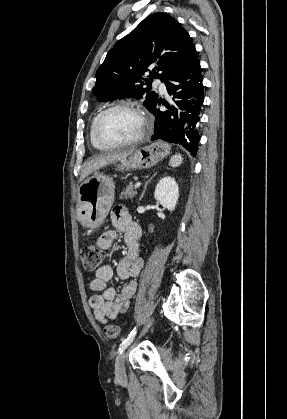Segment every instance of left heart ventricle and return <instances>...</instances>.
Returning <instances> with one entry per match:
<instances>
[{"mask_svg":"<svg viewBox=\"0 0 287 419\" xmlns=\"http://www.w3.org/2000/svg\"><path fill=\"white\" fill-rule=\"evenodd\" d=\"M141 128L137 113L128 109H116L109 112L101 122V136L112 142L133 138Z\"/></svg>","mask_w":287,"mask_h":419,"instance_id":"left-heart-ventricle-1","label":"left heart ventricle"}]
</instances>
